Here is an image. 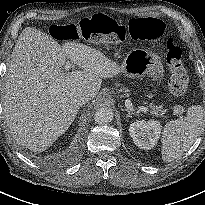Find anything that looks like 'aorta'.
<instances>
[{"label":"aorta","mask_w":205,"mask_h":205,"mask_svg":"<svg viewBox=\"0 0 205 205\" xmlns=\"http://www.w3.org/2000/svg\"><path fill=\"white\" fill-rule=\"evenodd\" d=\"M95 122L100 125L108 124L113 119V112L110 108L102 107L95 112Z\"/></svg>","instance_id":"762f6f07"}]
</instances>
